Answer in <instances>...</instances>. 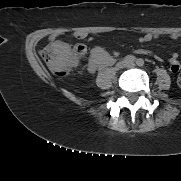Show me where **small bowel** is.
Instances as JSON below:
<instances>
[{
    "label": "small bowel",
    "instance_id": "1",
    "mask_svg": "<svg viewBox=\"0 0 181 181\" xmlns=\"http://www.w3.org/2000/svg\"><path fill=\"white\" fill-rule=\"evenodd\" d=\"M87 36L86 33H76L75 34V37L79 38V39H84L85 37ZM160 35L159 34H152V33H148V34H145L143 36H140L138 38V41L140 43H147V42H150L154 39H157ZM169 37L171 39H178L179 37H181V34L179 33H171L169 35ZM49 40H50V43L51 45L55 46V47H58V48H70L69 45L63 41H60L57 39V37L55 35H52L49 37ZM137 54H141V55H150L151 54V51L149 50H146V49H137L135 51ZM117 53H115L116 55ZM157 59H159L158 56H156ZM169 63H170V71L172 73H178V71H180L181 69V65H180V62L178 61V54L177 53H174L170 60H169ZM95 65L93 63H91L89 65V69L91 71H94L95 70Z\"/></svg>",
    "mask_w": 181,
    "mask_h": 181
}]
</instances>
